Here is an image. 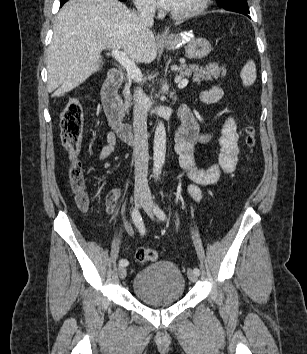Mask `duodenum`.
<instances>
[{"label":"duodenum","instance_id":"duodenum-1","mask_svg":"<svg viewBox=\"0 0 307 354\" xmlns=\"http://www.w3.org/2000/svg\"><path fill=\"white\" fill-rule=\"evenodd\" d=\"M123 80L120 70L110 71L101 90V101L111 129L122 142L130 145L133 141L132 126L124 122V109L118 95Z\"/></svg>","mask_w":307,"mask_h":354}]
</instances>
